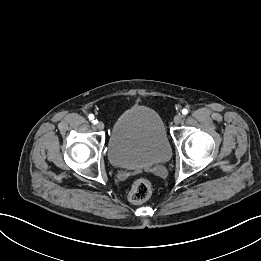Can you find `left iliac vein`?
Segmentation results:
<instances>
[{
    "instance_id": "1",
    "label": "left iliac vein",
    "mask_w": 261,
    "mask_h": 261,
    "mask_svg": "<svg viewBox=\"0 0 261 261\" xmlns=\"http://www.w3.org/2000/svg\"><path fill=\"white\" fill-rule=\"evenodd\" d=\"M182 120H183V115H182V114H177V115L174 117V123H175V124L181 123Z\"/></svg>"
}]
</instances>
